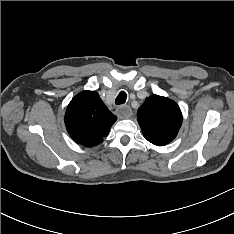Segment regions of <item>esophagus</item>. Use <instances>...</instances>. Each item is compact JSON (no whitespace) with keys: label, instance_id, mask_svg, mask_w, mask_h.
Here are the masks:
<instances>
[{"label":"esophagus","instance_id":"34e87169","mask_svg":"<svg viewBox=\"0 0 234 234\" xmlns=\"http://www.w3.org/2000/svg\"><path fill=\"white\" fill-rule=\"evenodd\" d=\"M116 111L121 118H129L132 115V109L128 105L119 106Z\"/></svg>","mask_w":234,"mask_h":234}]
</instances>
